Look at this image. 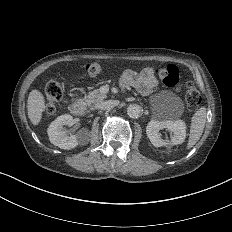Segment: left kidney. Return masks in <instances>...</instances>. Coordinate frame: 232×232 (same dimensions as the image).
Returning <instances> with one entry per match:
<instances>
[{
	"label": "left kidney",
	"mask_w": 232,
	"mask_h": 232,
	"mask_svg": "<svg viewBox=\"0 0 232 232\" xmlns=\"http://www.w3.org/2000/svg\"><path fill=\"white\" fill-rule=\"evenodd\" d=\"M167 128L173 132L171 140H163L159 134L161 129ZM146 134L150 139V142L155 147L178 145L182 144L186 137V125L182 120L170 121V120H151L146 127Z\"/></svg>",
	"instance_id": "1"
}]
</instances>
